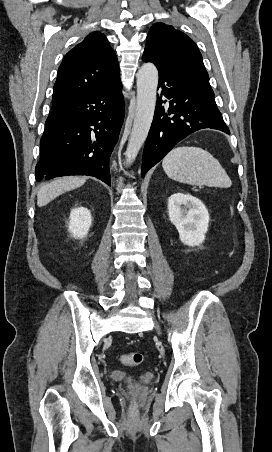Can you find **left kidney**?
Returning a JSON list of instances; mask_svg holds the SVG:
<instances>
[{
  "mask_svg": "<svg viewBox=\"0 0 272 452\" xmlns=\"http://www.w3.org/2000/svg\"><path fill=\"white\" fill-rule=\"evenodd\" d=\"M168 214L183 244L194 247L203 243L210 217L198 198L184 193L172 194L168 199Z\"/></svg>",
  "mask_w": 272,
  "mask_h": 452,
  "instance_id": "left-kidney-1",
  "label": "left kidney"
}]
</instances>
